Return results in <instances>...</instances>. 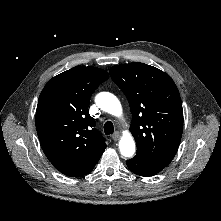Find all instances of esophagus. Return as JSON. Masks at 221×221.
I'll list each match as a JSON object with an SVG mask.
<instances>
[{
	"label": "esophagus",
	"instance_id": "esophagus-1",
	"mask_svg": "<svg viewBox=\"0 0 221 221\" xmlns=\"http://www.w3.org/2000/svg\"><path fill=\"white\" fill-rule=\"evenodd\" d=\"M119 138H120V133H119V132H115V133L112 135V139H113L114 141H117Z\"/></svg>",
	"mask_w": 221,
	"mask_h": 221
}]
</instances>
